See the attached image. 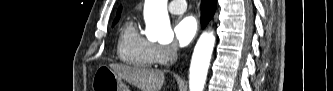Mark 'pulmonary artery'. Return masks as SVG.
I'll return each mask as SVG.
<instances>
[{"label":"pulmonary artery","instance_id":"pulmonary-artery-1","mask_svg":"<svg viewBox=\"0 0 333 91\" xmlns=\"http://www.w3.org/2000/svg\"><path fill=\"white\" fill-rule=\"evenodd\" d=\"M169 11L173 14H181L186 11L187 5L185 0H173L169 3Z\"/></svg>","mask_w":333,"mask_h":91}]
</instances>
